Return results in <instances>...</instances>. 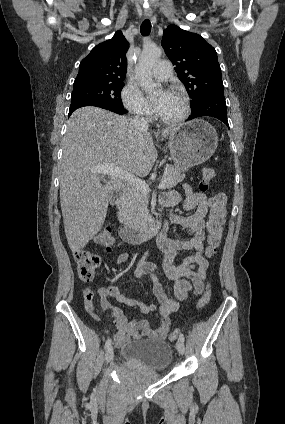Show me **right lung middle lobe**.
Segmentation results:
<instances>
[{"mask_svg": "<svg viewBox=\"0 0 285 424\" xmlns=\"http://www.w3.org/2000/svg\"><path fill=\"white\" fill-rule=\"evenodd\" d=\"M123 87V81L75 84L71 95V101L81 99L94 100L115 107L124 108L120 95Z\"/></svg>", "mask_w": 285, "mask_h": 424, "instance_id": "right-lung-middle-lobe-1", "label": "right lung middle lobe"}]
</instances>
